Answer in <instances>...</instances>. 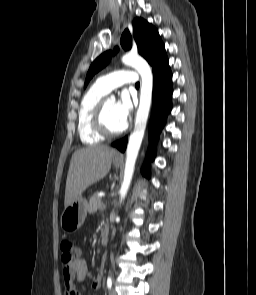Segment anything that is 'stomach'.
<instances>
[{
	"instance_id": "obj_1",
	"label": "stomach",
	"mask_w": 256,
	"mask_h": 295,
	"mask_svg": "<svg viewBox=\"0 0 256 295\" xmlns=\"http://www.w3.org/2000/svg\"><path fill=\"white\" fill-rule=\"evenodd\" d=\"M113 164L118 167L121 164V160L116 157L113 159ZM87 211V200L79 196L74 202L64 208L60 217V225L62 229L67 232L78 230L85 221Z\"/></svg>"
}]
</instances>
